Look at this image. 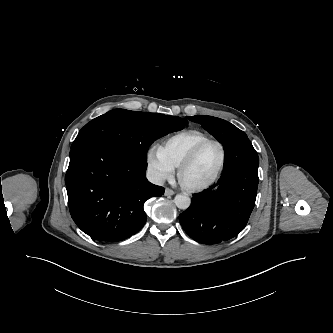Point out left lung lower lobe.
I'll use <instances>...</instances> for the list:
<instances>
[{
    "label": "left lung lower lobe",
    "mask_w": 333,
    "mask_h": 333,
    "mask_svg": "<svg viewBox=\"0 0 333 333\" xmlns=\"http://www.w3.org/2000/svg\"><path fill=\"white\" fill-rule=\"evenodd\" d=\"M259 158L248 138L225 150L218 184L193 196L179 215L186 233L202 244H217L238 235L247 225L255 205Z\"/></svg>",
    "instance_id": "0a47b994"
}]
</instances>
